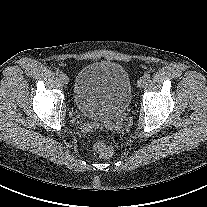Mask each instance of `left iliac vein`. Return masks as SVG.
<instances>
[{
	"label": "left iliac vein",
	"instance_id": "1",
	"mask_svg": "<svg viewBox=\"0 0 207 207\" xmlns=\"http://www.w3.org/2000/svg\"><path fill=\"white\" fill-rule=\"evenodd\" d=\"M146 83V79L144 77L139 78V80L137 81V86L139 88L143 87Z\"/></svg>",
	"mask_w": 207,
	"mask_h": 207
}]
</instances>
